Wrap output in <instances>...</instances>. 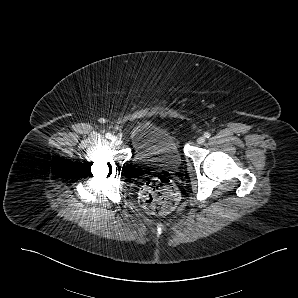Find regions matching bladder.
<instances>
[{"mask_svg": "<svg viewBox=\"0 0 298 298\" xmlns=\"http://www.w3.org/2000/svg\"><path fill=\"white\" fill-rule=\"evenodd\" d=\"M133 159L141 165L174 171L181 164V154L172 135L149 122H138L130 131Z\"/></svg>", "mask_w": 298, "mask_h": 298, "instance_id": "1", "label": "bladder"}]
</instances>
